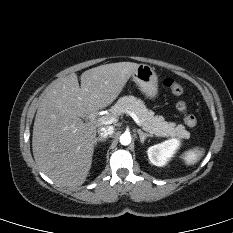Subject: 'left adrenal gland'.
Here are the masks:
<instances>
[{"label":"left adrenal gland","instance_id":"left-adrenal-gland-1","mask_svg":"<svg viewBox=\"0 0 233 233\" xmlns=\"http://www.w3.org/2000/svg\"><path fill=\"white\" fill-rule=\"evenodd\" d=\"M137 133L139 134V138L142 144H144L145 140L148 137H151L152 135L144 133L143 131H141L140 129L137 130Z\"/></svg>","mask_w":233,"mask_h":233}]
</instances>
